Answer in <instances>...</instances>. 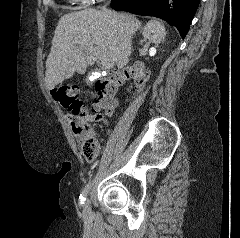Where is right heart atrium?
<instances>
[{"mask_svg": "<svg viewBox=\"0 0 240 238\" xmlns=\"http://www.w3.org/2000/svg\"><path fill=\"white\" fill-rule=\"evenodd\" d=\"M75 1L78 3H81V4L89 5V4L95 3L96 1H100V0H75Z\"/></svg>", "mask_w": 240, "mask_h": 238, "instance_id": "right-heart-atrium-1", "label": "right heart atrium"}]
</instances>
